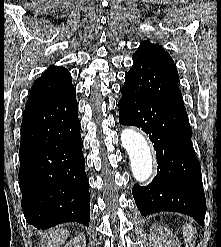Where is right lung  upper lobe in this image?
I'll return each mask as SVG.
<instances>
[{"instance_id":"cb5924a9","label":"right lung upper lobe","mask_w":221,"mask_h":247,"mask_svg":"<svg viewBox=\"0 0 221 247\" xmlns=\"http://www.w3.org/2000/svg\"><path fill=\"white\" fill-rule=\"evenodd\" d=\"M74 89L71 74L62 66H50L33 84L26 107H30Z\"/></svg>"}]
</instances>
